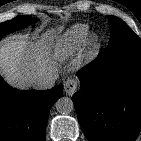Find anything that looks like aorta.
<instances>
[{
  "label": "aorta",
  "instance_id": "762f6f07",
  "mask_svg": "<svg viewBox=\"0 0 141 141\" xmlns=\"http://www.w3.org/2000/svg\"><path fill=\"white\" fill-rule=\"evenodd\" d=\"M55 105L57 111L61 114H68L74 109V103L69 97H61Z\"/></svg>",
  "mask_w": 141,
  "mask_h": 141
}]
</instances>
